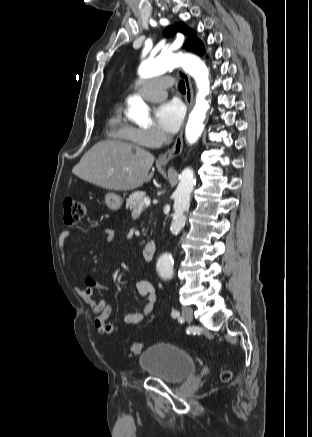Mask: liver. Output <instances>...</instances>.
Returning <instances> with one entry per match:
<instances>
[{
    "label": "liver",
    "mask_w": 312,
    "mask_h": 437,
    "mask_svg": "<svg viewBox=\"0 0 312 437\" xmlns=\"http://www.w3.org/2000/svg\"><path fill=\"white\" fill-rule=\"evenodd\" d=\"M153 162L154 156L137 145L105 140L85 153L72 172L102 188L126 191L152 179Z\"/></svg>",
    "instance_id": "liver-1"
}]
</instances>
